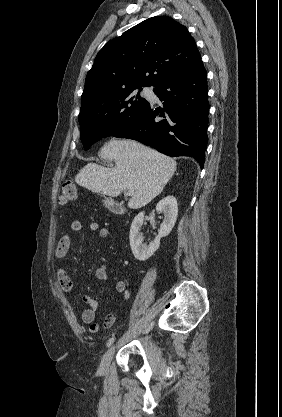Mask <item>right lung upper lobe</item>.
Returning <instances> with one entry per match:
<instances>
[{"instance_id": "right-lung-upper-lobe-1", "label": "right lung upper lobe", "mask_w": 282, "mask_h": 417, "mask_svg": "<svg viewBox=\"0 0 282 417\" xmlns=\"http://www.w3.org/2000/svg\"><path fill=\"white\" fill-rule=\"evenodd\" d=\"M199 62L200 53L187 28L169 16H155L110 40L99 51L86 76L82 100L130 88H157Z\"/></svg>"}]
</instances>
